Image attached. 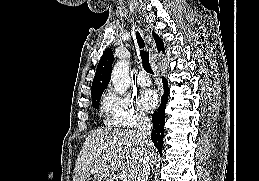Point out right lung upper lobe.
Returning <instances> with one entry per match:
<instances>
[{"instance_id": "obj_1", "label": "right lung upper lobe", "mask_w": 259, "mask_h": 181, "mask_svg": "<svg viewBox=\"0 0 259 181\" xmlns=\"http://www.w3.org/2000/svg\"><path fill=\"white\" fill-rule=\"evenodd\" d=\"M153 37L155 39L158 52H160L161 50L164 52V43L161 40V38L154 32ZM112 62L113 53L112 50L109 48L105 50L98 63L97 70L92 83V98L98 95H102L103 91L108 86L111 77Z\"/></svg>"}]
</instances>
